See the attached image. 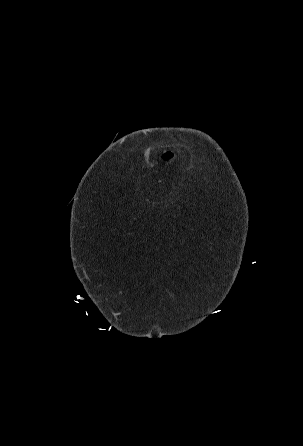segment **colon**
I'll use <instances>...</instances> for the list:
<instances>
[{"label": "colon", "instance_id": "colon-1", "mask_svg": "<svg viewBox=\"0 0 303 446\" xmlns=\"http://www.w3.org/2000/svg\"><path fill=\"white\" fill-rule=\"evenodd\" d=\"M171 157H172V154L171 153H165L164 155H163V159L165 160V161H168V160H170L171 159Z\"/></svg>", "mask_w": 303, "mask_h": 446}]
</instances>
